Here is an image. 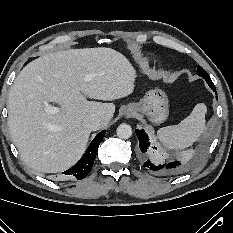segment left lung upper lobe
<instances>
[{"mask_svg": "<svg viewBox=\"0 0 233 233\" xmlns=\"http://www.w3.org/2000/svg\"><path fill=\"white\" fill-rule=\"evenodd\" d=\"M197 74L199 75V76H203V75H206L207 74V72L201 67V66H197Z\"/></svg>", "mask_w": 233, "mask_h": 233, "instance_id": "5c2ea615", "label": "left lung upper lobe"}]
</instances>
